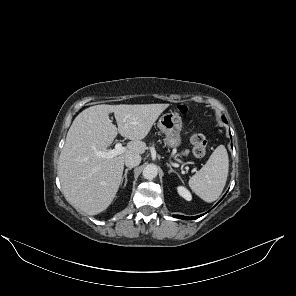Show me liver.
<instances>
[{
	"mask_svg": "<svg viewBox=\"0 0 296 296\" xmlns=\"http://www.w3.org/2000/svg\"><path fill=\"white\" fill-rule=\"evenodd\" d=\"M169 104L95 105L73 121L60 153L58 176L66 200L78 211L96 215L109 207L122 182L125 158L143 154L142 140ZM114 113L118 128L111 122ZM119 133L131 141L111 159L98 157Z\"/></svg>",
	"mask_w": 296,
	"mask_h": 296,
	"instance_id": "1",
	"label": "liver"
}]
</instances>
